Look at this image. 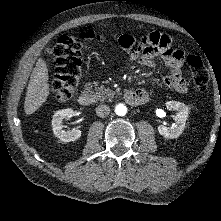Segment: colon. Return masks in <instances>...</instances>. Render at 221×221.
Returning <instances> with one entry per match:
<instances>
[{"label": "colon", "instance_id": "colon-1", "mask_svg": "<svg viewBox=\"0 0 221 221\" xmlns=\"http://www.w3.org/2000/svg\"><path fill=\"white\" fill-rule=\"evenodd\" d=\"M95 39L99 36L90 30L79 37L63 34L58 39L54 49L55 77L51 82V91L59 101L65 102L75 93L82 73V47L85 41ZM187 61L195 88L205 91L209 85L207 68L198 56L191 55Z\"/></svg>", "mask_w": 221, "mask_h": 221}]
</instances>
